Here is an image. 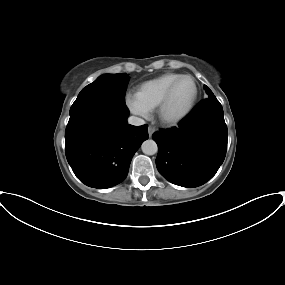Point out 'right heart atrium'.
Returning a JSON list of instances; mask_svg holds the SVG:
<instances>
[{"label": "right heart atrium", "mask_w": 285, "mask_h": 285, "mask_svg": "<svg viewBox=\"0 0 285 285\" xmlns=\"http://www.w3.org/2000/svg\"><path fill=\"white\" fill-rule=\"evenodd\" d=\"M126 105L129 108V110L134 114H137L140 116L148 115V111L144 109L143 107H141L134 98L128 97L126 100Z\"/></svg>", "instance_id": "d8ad5b80"}]
</instances>
